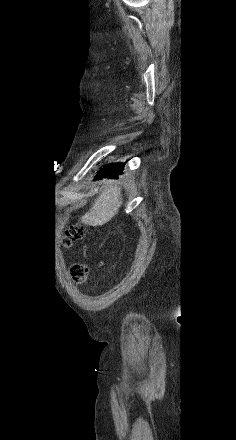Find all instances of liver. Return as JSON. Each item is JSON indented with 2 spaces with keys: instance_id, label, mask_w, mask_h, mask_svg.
<instances>
[{
  "instance_id": "obj_1",
  "label": "liver",
  "mask_w": 236,
  "mask_h": 440,
  "mask_svg": "<svg viewBox=\"0 0 236 440\" xmlns=\"http://www.w3.org/2000/svg\"><path fill=\"white\" fill-rule=\"evenodd\" d=\"M121 204V188L109 181L99 197L95 199L90 210L81 217V220L87 225L102 226L118 213Z\"/></svg>"
}]
</instances>
